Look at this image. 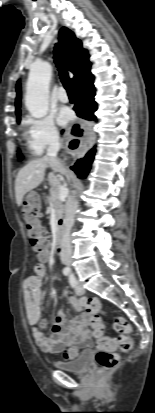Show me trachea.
<instances>
[{
    "label": "trachea",
    "instance_id": "obj_1",
    "mask_svg": "<svg viewBox=\"0 0 155 413\" xmlns=\"http://www.w3.org/2000/svg\"><path fill=\"white\" fill-rule=\"evenodd\" d=\"M54 59H55V63L58 67L59 70V75H60V79L63 83L64 88L66 89L68 94L73 95L74 94V90H73V86H72V82L68 76L67 71L65 70L64 67V57L62 54L61 49L59 48V46H55L54 49Z\"/></svg>",
    "mask_w": 155,
    "mask_h": 413
}]
</instances>
